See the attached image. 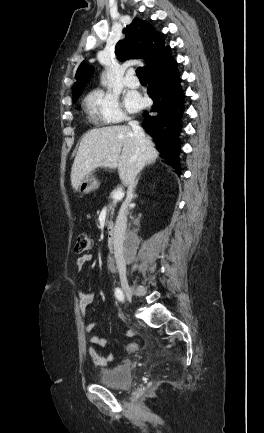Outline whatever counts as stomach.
Here are the masks:
<instances>
[{"label": "stomach", "instance_id": "obj_1", "mask_svg": "<svg viewBox=\"0 0 264 433\" xmlns=\"http://www.w3.org/2000/svg\"><path fill=\"white\" fill-rule=\"evenodd\" d=\"M100 183L93 175H87L79 185L78 191L82 194H87L99 188Z\"/></svg>", "mask_w": 264, "mask_h": 433}]
</instances>
